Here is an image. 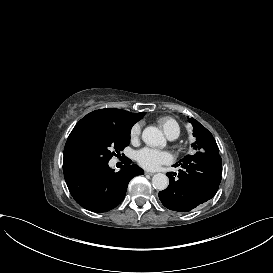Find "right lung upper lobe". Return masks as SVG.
I'll return each mask as SVG.
<instances>
[{
  "label": "right lung upper lobe",
  "instance_id": "obj_1",
  "mask_svg": "<svg viewBox=\"0 0 273 273\" xmlns=\"http://www.w3.org/2000/svg\"><path fill=\"white\" fill-rule=\"evenodd\" d=\"M144 114V112L131 113L121 109L107 108L95 110L87 114L84 119H94L104 123L132 128V126L139 121Z\"/></svg>",
  "mask_w": 273,
  "mask_h": 273
}]
</instances>
